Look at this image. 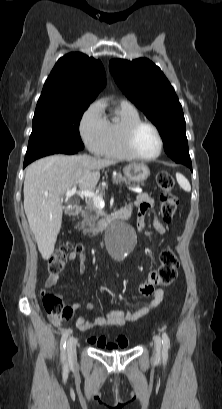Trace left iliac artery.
<instances>
[{"label":"left iliac artery","instance_id":"1","mask_svg":"<svg viewBox=\"0 0 222 409\" xmlns=\"http://www.w3.org/2000/svg\"><path fill=\"white\" fill-rule=\"evenodd\" d=\"M162 356L164 359L168 358V350L170 348L169 337L166 332H162Z\"/></svg>","mask_w":222,"mask_h":409}]
</instances>
